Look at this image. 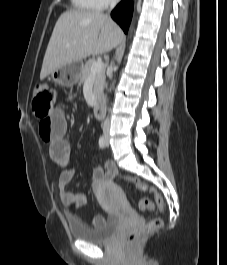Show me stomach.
Here are the masks:
<instances>
[{
    "mask_svg": "<svg viewBox=\"0 0 227 265\" xmlns=\"http://www.w3.org/2000/svg\"><path fill=\"white\" fill-rule=\"evenodd\" d=\"M83 63L75 61L51 72L52 80L62 86L71 87L75 85L81 76Z\"/></svg>",
    "mask_w": 227,
    "mask_h": 265,
    "instance_id": "0dacf381",
    "label": "stomach"
}]
</instances>
